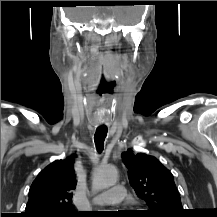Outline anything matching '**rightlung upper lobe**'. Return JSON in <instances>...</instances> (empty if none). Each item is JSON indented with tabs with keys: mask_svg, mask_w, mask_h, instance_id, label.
<instances>
[{
	"mask_svg": "<svg viewBox=\"0 0 217 217\" xmlns=\"http://www.w3.org/2000/svg\"><path fill=\"white\" fill-rule=\"evenodd\" d=\"M74 157L56 160L38 174L30 187L23 217L78 215L72 211V190L77 182Z\"/></svg>",
	"mask_w": 217,
	"mask_h": 217,
	"instance_id": "right-lung-upper-lobe-1",
	"label": "right lung upper lobe"
}]
</instances>
